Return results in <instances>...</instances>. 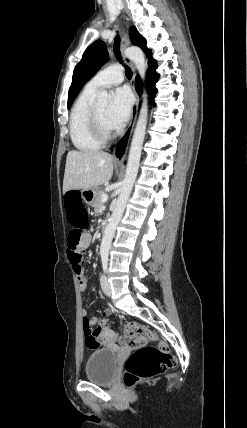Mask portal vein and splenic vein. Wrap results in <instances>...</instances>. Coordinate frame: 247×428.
Instances as JSON below:
<instances>
[{
	"label": "portal vein and splenic vein",
	"instance_id": "portal-vein-and-splenic-vein-1",
	"mask_svg": "<svg viewBox=\"0 0 247 428\" xmlns=\"http://www.w3.org/2000/svg\"><path fill=\"white\" fill-rule=\"evenodd\" d=\"M108 199V196L106 194L102 195L101 200L102 202H106Z\"/></svg>",
	"mask_w": 247,
	"mask_h": 428
}]
</instances>
